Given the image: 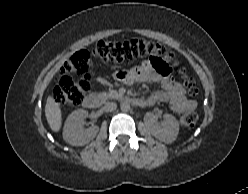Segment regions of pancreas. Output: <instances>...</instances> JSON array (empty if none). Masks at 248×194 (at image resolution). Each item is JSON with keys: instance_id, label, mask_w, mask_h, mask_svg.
I'll return each mask as SVG.
<instances>
[{"instance_id": "obj_1", "label": "pancreas", "mask_w": 248, "mask_h": 194, "mask_svg": "<svg viewBox=\"0 0 248 194\" xmlns=\"http://www.w3.org/2000/svg\"><path fill=\"white\" fill-rule=\"evenodd\" d=\"M101 96L103 99H116L121 97V94L116 90H109L108 92H102Z\"/></svg>"}]
</instances>
